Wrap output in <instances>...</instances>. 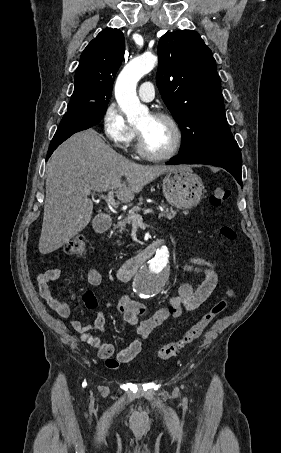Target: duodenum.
Segmentation results:
<instances>
[{
    "instance_id": "410a0bca",
    "label": "duodenum",
    "mask_w": 281,
    "mask_h": 453,
    "mask_svg": "<svg viewBox=\"0 0 281 453\" xmlns=\"http://www.w3.org/2000/svg\"><path fill=\"white\" fill-rule=\"evenodd\" d=\"M112 224L111 218L109 217H101L95 223V231L97 233H104L106 232ZM165 242L160 240L155 242L141 252L127 260L118 270L117 276L121 281H128L130 280L139 270V268L148 261L156 252L158 248H160Z\"/></svg>"
}]
</instances>
